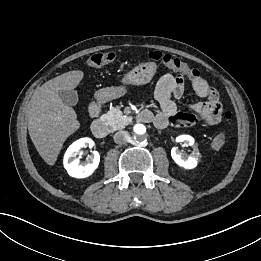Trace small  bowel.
<instances>
[{"label": "small bowel", "instance_id": "small-bowel-1", "mask_svg": "<svg viewBox=\"0 0 261 261\" xmlns=\"http://www.w3.org/2000/svg\"><path fill=\"white\" fill-rule=\"evenodd\" d=\"M191 85L194 92L204 100L191 105L192 112H180L174 99L178 100L184 94V78L170 73L161 77L155 89L160 108L152 114L151 120L157 128L163 129L169 124L191 126L198 121L216 125L221 121L222 106L217 91L200 76L191 79Z\"/></svg>", "mask_w": 261, "mask_h": 261}]
</instances>
